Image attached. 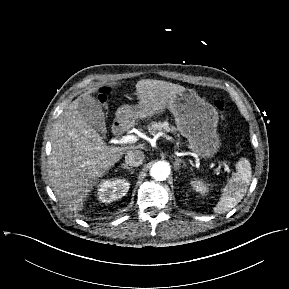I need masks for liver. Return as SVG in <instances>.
Returning <instances> with one entry per match:
<instances>
[{
    "mask_svg": "<svg viewBox=\"0 0 289 289\" xmlns=\"http://www.w3.org/2000/svg\"><path fill=\"white\" fill-rule=\"evenodd\" d=\"M116 86V82L108 83ZM102 87V86H101ZM92 88L75 99L58 117L53 127L52 150L48 161V175L55 195L73 210H80L83 202L99 180L122 156L137 146H107L97 131L87 123L79 111L82 99L91 101ZM186 89L161 80L143 79L136 84L139 105L150 116L162 113L177 93Z\"/></svg>",
    "mask_w": 289,
    "mask_h": 289,
    "instance_id": "obj_1",
    "label": "liver"
}]
</instances>
